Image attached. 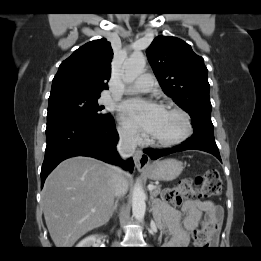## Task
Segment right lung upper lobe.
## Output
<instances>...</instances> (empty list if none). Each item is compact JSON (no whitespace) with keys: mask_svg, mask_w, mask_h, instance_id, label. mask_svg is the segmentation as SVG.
<instances>
[{"mask_svg":"<svg viewBox=\"0 0 261 261\" xmlns=\"http://www.w3.org/2000/svg\"><path fill=\"white\" fill-rule=\"evenodd\" d=\"M112 55L110 42L105 38L81 46L60 64L52 81L50 95L77 92L100 96L102 90L108 89Z\"/></svg>","mask_w":261,"mask_h":261,"instance_id":"right-lung-upper-lobe-1","label":"right lung upper lobe"}]
</instances>
